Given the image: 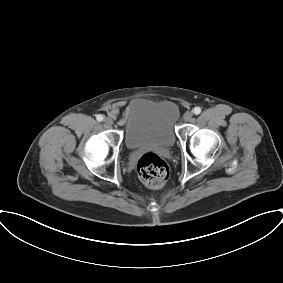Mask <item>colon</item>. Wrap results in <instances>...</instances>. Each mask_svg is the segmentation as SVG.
Listing matches in <instances>:
<instances>
[{
	"label": "colon",
	"mask_w": 283,
	"mask_h": 283,
	"mask_svg": "<svg viewBox=\"0 0 283 283\" xmlns=\"http://www.w3.org/2000/svg\"><path fill=\"white\" fill-rule=\"evenodd\" d=\"M137 171L140 180L150 188L162 187L169 178V167L156 153L147 152L138 161Z\"/></svg>",
	"instance_id": "5ec220e1"
}]
</instances>
